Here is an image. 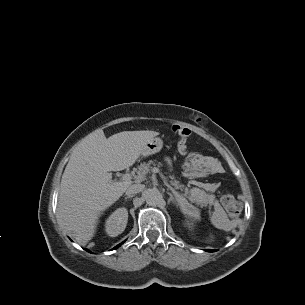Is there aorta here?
I'll return each mask as SVG.
<instances>
[{
	"label": "aorta",
	"mask_w": 305,
	"mask_h": 305,
	"mask_svg": "<svg viewBox=\"0 0 305 305\" xmlns=\"http://www.w3.org/2000/svg\"><path fill=\"white\" fill-rule=\"evenodd\" d=\"M146 203L151 206L160 204L162 200V194L157 189H148L144 193Z\"/></svg>",
	"instance_id": "762f6f07"
}]
</instances>
